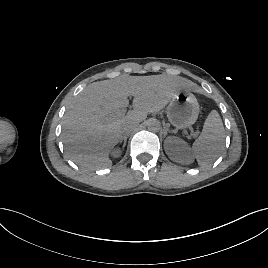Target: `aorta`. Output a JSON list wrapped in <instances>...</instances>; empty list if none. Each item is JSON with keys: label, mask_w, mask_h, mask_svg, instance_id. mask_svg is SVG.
<instances>
[{"label": "aorta", "mask_w": 268, "mask_h": 268, "mask_svg": "<svg viewBox=\"0 0 268 268\" xmlns=\"http://www.w3.org/2000/svg\"><path fill=\"white\" fill-rule=\"evenodd\" d=\"M147 129L151 132H159L161 129V124L157 119L150 118L146 122Z\"/></svg>", "instance_id": "aorta-1"}]
</instances>
